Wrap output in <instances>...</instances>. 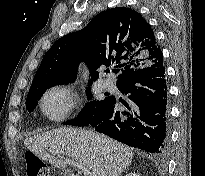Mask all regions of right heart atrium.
Wrapping results in <instances>:
<instances>
[{"label":"right heart atrium","mask_w":205,"mask_h":176,"mask_svg":"<svg viewBox=\"0 0 205 176\" xmlns=\"http://www.w3.org/2000/svg\"><path fill=\"white\" fill-rule=\"evenodd\" d=\"M78 98L66 86L58 85L48 89L40 100V109L54 121L67 118L77 104Z\"/></svg>","instance_id":"right-heart-atrium-1"}]
</instances>
